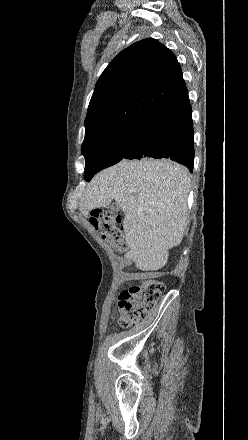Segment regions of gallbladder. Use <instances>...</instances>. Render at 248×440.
<instances>
[{"label":"gallbladder","instance_id":"obj_1","mask_svg":"<svg viewBox=\"0 0 248 440\" xmlns=\"http://www.w3.org/2000/svg\"><path fill=\"white\" fill-rule=\"evenodd\" d=\"M110 209L113 210V211H117V210L120 209V206H119L117 203H113V204L110 206Z\"/></svg>","mask_w":248,"mask_h":440}]
</instances>
